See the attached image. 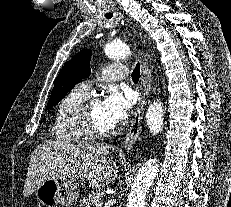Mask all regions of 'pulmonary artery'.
I'll return each mask as SVG.
<instances>
[{
	"label": "pulmonary artery",
	"instance_id": "obj_1",
	"mask_svg": "<svg viewBox=\"0 0 231 207\" xmlns=\"http://www.w3.org/2000/svg\"><path fill=\"white\" fill-rule=\"evenodd\" d=\"M128 74V69L126 66L121 64H108L104 67L101 72V78L105 81H118L124 79ZM91 81H84L78 85V87L87 91Z\"/></svg>",
	"mask_w": 231,
	"mask_h": 207
}]
</instances>
